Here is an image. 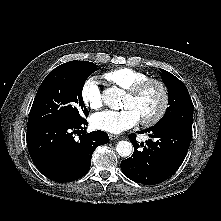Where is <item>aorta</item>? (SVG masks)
I'll return each mask as SVG.
<instances>
[{
	"label": "aorta",
	"instance_id": "1",
	"mask_svg": "<svg viewBox=\"0 0 221 221\" xmlns=\"http://www.w3.org/2000/svg\"><path fill=\"white\" fill-rule=\"evenodd\" d=\"M122 90L116 87L108 88L104 91L103 102L111 109H118L121 102ZM133 146L128 141H119L116 151L121 157H128L132 154Z\"/></svg>",
	"mask_w": 221,
	"mask_h": 221
}]
</instances>
